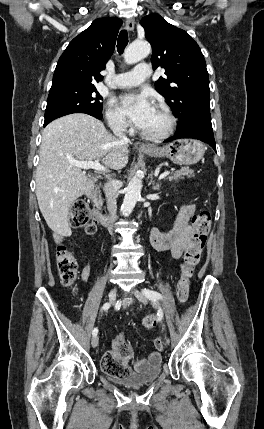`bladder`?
Listing matches in <instances>:
<instances>
[{
  "label": "bladder",
  "mask_w": 264,
  "mask_h": 429,
  "mask_svg": "<svg viewBox=\"0 0 264 429\" xmlns=\"http://www.w3.org/2000/svg\"><path fill=\"white\" fill-rule=\"evenodd\" d=\"M161 365H155L148 368L143 372H132L128 373L125 376H113L108 374L109 380L112 382L127 387V388H136L143 385H147L156 381L161 374Z\"/></svg>",
  "instance_id": "31cf9c89"
}]
</instances>
